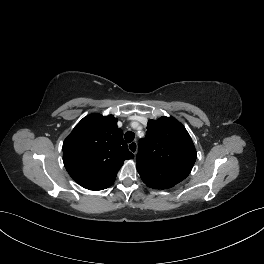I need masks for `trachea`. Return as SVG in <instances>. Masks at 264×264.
I'll return each instance as SVG.
<instances>
[{"instance_id":"3493384b","label":"trachea","mask_w":264,"mask_h":264,"mask_svg":"<svg viewBox=\"0 0 264 264\" xmlns=\"http://www.w3.org/2000/svg\"><path fill=\"white\" fill-rule=\"evenodd\" d=\"M124 138H125V141L127 143H130V142H132L134 140L135 134L133 132H131V131H128V132L125 133Z\"/></svg>"}]
</instances>
